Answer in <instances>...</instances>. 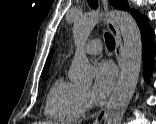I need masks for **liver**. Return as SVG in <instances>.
Wrapping results in <instances>:
<instances>
[{
	"instance_id": "1",
	"label": "liver",
	"mask_w": 156,
	"mask_h": 124,
	"mask_svg": "<svg viewBox=\"0 0 156 124\" xmlns=\"http://www.w3.org/2000/svg\"><path fill=\"white\" fill-rule=\"evenodd\" d=\"M33 124H52V123H50V122H35V123H33Z\"/></svg>"
}]
</instances>
